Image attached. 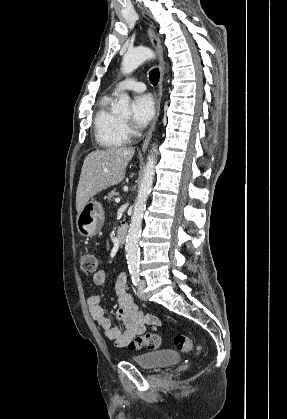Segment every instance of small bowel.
Returning <instances> with one entry per match:
<instances>
[{"instance_id": "1", "label": "small bowel", "mask_w": 287, "mask_h": 419, "mask_svg": "<svg viewBox=\"0 0 287 419\" xmlns=\"http://www.w3.org/2000/svg\"><path fill=\"white\" fill-rule=\"evenodd\" d=\"M106 273L98 271L94 274L93 282L103 285ZM117 310L116 317L121 322L120 326H113L111 320L105 315L101 306V295L96 292L88 299L89 312L92 319L105 332L106 336L113 340L116 346L125 348L129 342L138 335L144 333L146 326L157 327L159 318L154 314H144L134 304L131 294L128 292L127 276L124 273L118 275L115 282Z\"/></svg>"}]
</instances>
